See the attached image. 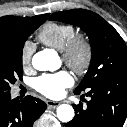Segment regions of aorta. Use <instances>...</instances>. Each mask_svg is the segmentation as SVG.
Wrapping results in <instances>:
<instances>
[{"label":"aorta","instance_id":"aorta-1","mask_svg":"<svg viewBox=\"0 0 127 127\" xmlns=\"http://www.w3.org/2000/svg\"><path fill=\"white\" fill-rule=\"evenodd\" d=\"M32 65L39 71H55L59 66V60L53 50H43L32 58ZM74 117V109L69 104H62L57 108V118L61 122H69Z\"/></svg>","mask_w":127,"mask_h":127}]
</instances>
